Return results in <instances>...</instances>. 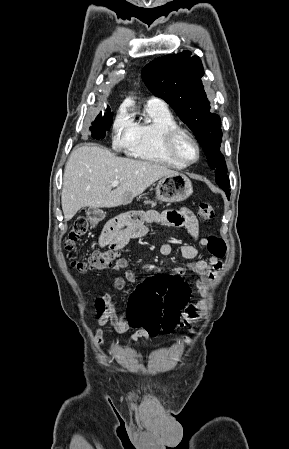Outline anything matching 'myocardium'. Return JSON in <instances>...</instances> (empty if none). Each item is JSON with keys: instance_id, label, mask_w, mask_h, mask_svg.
I'll list each match as a JSON object with an SVG mask.
<instances>
[{"instance_id": "1", "label": "myocardium", "mask_w": 289, "mask_h": 449, "mask_svg": "<svg viewBox=\"0 0 289 449\" xmlns=\"http://www.w3.org/2000/svg\"><path fill=\"white\" fill-rule=\"evenodd\" d=\"M180 138H186L189 140L196 149V157L192 161L185 160L182 158L178 152L177 149V143ZM164 146L166 149L167 154L176 162L184 165V166H190L198 162V160L201 157V148L196 140V138L186 129H183L181 127H176L169 129L165 135H164Z\"/></svg>"}]
</instances>
